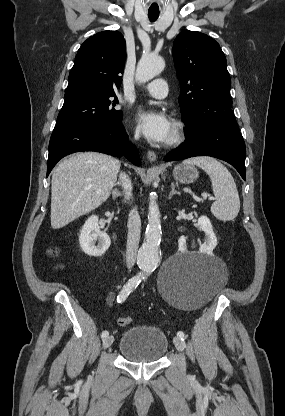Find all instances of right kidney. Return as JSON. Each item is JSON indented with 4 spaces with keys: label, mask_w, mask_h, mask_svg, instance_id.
<instances>
[{
    "label": "right kidney",
    "mask_w": 285,
    "mask_h": 416,
    "mask_svg": "<svg viewBox=\"0 0 285 416\" xmlns=\"http://www.w3.org/2000/svg\"><path fill=\"white\" fill-rule=\"evenodd\" d=\"M94 240H99V246H95ZM79 244L87 256H102L108 250L111 240L108 234L101 232L98 226V216H90L86 220L80 232Z\"/></svg>",
    "instance_id": "ca27d5eb"
}]
</instances>
